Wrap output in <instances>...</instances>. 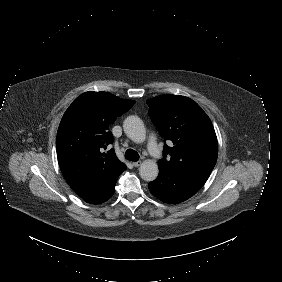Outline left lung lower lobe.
Listing matches in <instances>:
<instances>
[{
	"label": "left lung lower lobe",
	"instance_id": "obj_1",
	"mask_svg": "<svg viewBox=\"0 0 282 282\" xmlns=\"http://www.w3.org/2000/svg\"><path fill=\"white\" fill-rule=\"evenodd\" d=\"M211 172L159 169L156 180L149 183L150 192L159 200L177 204L193 196L207 181Z\"/></svg>",
	"mask_w": 282,
	"mask_h": 282
}]
</instances>
